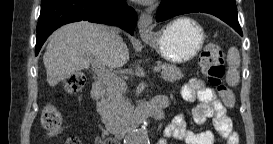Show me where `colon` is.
I'll return each mask as SVG.
<instances>
[{
    "mask_svg": "<svg viewBox=\"0 0 273 144\" xmlns=\"http://www.w3.org/2000/svg\"><path fill=\"white\" fill-rule=\"evenodd\" d=\"M199 67L209 84L218 90L224 103L231 107L233 96L223 84L224 53L219 44L210 42L205 46L199 58ZM84 83L85 76L82 73H76L66 80L65 87L69 93H76L83 88ZM42 122L47 130L56 133L60 129L61 117L53 107H47L43 113Z\"/></svg>",
    "mask_w": 273,
    "mask_h": 144,
    "instance_id": "1",
    "label": "colon"
}]
</instances>
